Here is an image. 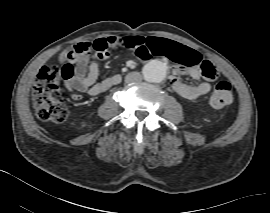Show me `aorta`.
I'll return each instance as SVG.
<instances>
[{
  "instance_id": "1",
  "label": "aorta",
  "mask_w": 270,
  "mask_h": 213,
  "mask_svg": "<svg viewBox=\"0 0 270 213\" xmlns=\"http://www.w3.org/2000/svg\"><path fill=\"white\" fill-rule=\"evenodd\" d=\"M168 73L167 65L159 60L149 61L143 68L145 80L153 83L162 82Z\"/></svg>"
}]
</instances>
